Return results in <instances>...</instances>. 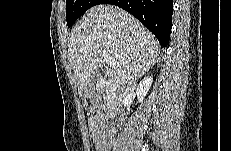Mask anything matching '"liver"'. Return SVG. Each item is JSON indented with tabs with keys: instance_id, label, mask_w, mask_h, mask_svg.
Here are the masks:
<instances>
[{
	"instance_id": "obj_1",
	"label": "liver",
	"mask_w": 231,
	"mask_h": 151,
	"mask_svg": "<svg viewBox=\"0 0 231 151\" xmlns=\"http://www.w3.org/2000/svg\"><path fill=\"white\" fill-rule=\"evenodd\" d=\"M105 51L113 59L105 72L114 87L131 84L158 62L159 43L136 18L109 4L92 7L73 28L68 56L82 95Z\"/></svg>"
}]
</instances>
